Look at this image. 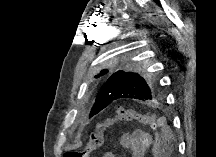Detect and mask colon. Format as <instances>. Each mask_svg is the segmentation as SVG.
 <instances>
[{
	"label": "colon",
	"instance_id": "obj_1",
	"mask_svg": "<svg viewBox=\"0 0 216 157\" xmlns=\"http://www.w3.org/2000/svg\"><path fill=\"white\" fill-rule=\"evenodd\" d=\"M123 121H136L150 125L152 128H157L160 125V122L150 112H140L118 107L112 116L99 120L94 125L83 149L67 151L64 157H89L102 146L106 129L113 123Z\"/></svg>",
	"mask_w": 216,
	"mask_h": 157
}]
</instances>
